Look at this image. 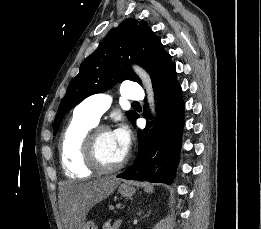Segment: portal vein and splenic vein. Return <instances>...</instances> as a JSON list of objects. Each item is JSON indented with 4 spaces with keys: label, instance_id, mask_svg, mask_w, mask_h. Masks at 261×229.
<instances>
[{
    "label": "portal vein and splenic vein",
    "instance_id": "1",
    "mask_svg": "<svg viewBox=\"0 0 261 229\" xmlns=\"http://www.w3.org/2000/svg\"><path fill=\"white\" fill-rule=\"evenodd\" d=\"M123 222H124V219L123 218H119L118 220L115 221L114 227L118 228L119 225L123 224Z\"/></svg>",
    "mask_w": 261,
    "mask_h": 229
}]
</instances>
